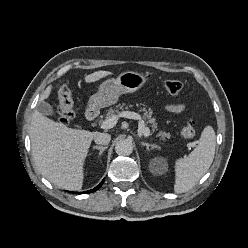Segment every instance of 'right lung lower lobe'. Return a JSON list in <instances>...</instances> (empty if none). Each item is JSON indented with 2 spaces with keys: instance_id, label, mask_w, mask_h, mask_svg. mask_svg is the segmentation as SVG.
<instances>
[{
  "instance_id": "98d812e1",
  "label": "right lung lower lobe",
  "mask_w": 248,
  "mask_h": 248,
  "mask_svg": "<svg viewBox=\"0 0 248 248\" xmlns=\"http://www.w3.org/2000/svg\"><path fill=\"white\" fill-rule=\"evenodd\" d=\"M103 182H104V180H103L98 186H96L94 189L87 191V193H91V192H93V191L98 190V189L101 187V185L103 184ZM76 193H77V194H83V193H85V192H76Z\"/></svg>"
}]
</instances>
